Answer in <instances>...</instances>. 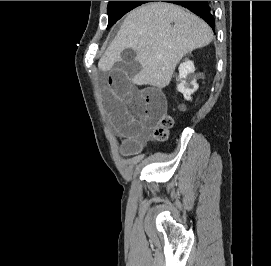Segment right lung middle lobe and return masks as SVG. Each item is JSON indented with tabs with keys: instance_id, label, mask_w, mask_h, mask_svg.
I'll list each match as a JSON object with an SVG mask.
<instances>
[{
	"instance_id": "right-lung-middle-lobe-1",
	"label": "right lung middle lobe",
	"mask_w": 271,
	"mask_h": 266,
	"mask_svg": "<svg viewBox=\"0 0 271 266\" xmlns=\"http://www.w3.org/2000/svg\"><path fill=\"white\" fill-rule=\"evenodd\" d=\"M148 2L151 1H109L107 7L109 19L107 29L114 25L123 15H125L130 10Z\"/></svg>"
}]
</instances>
